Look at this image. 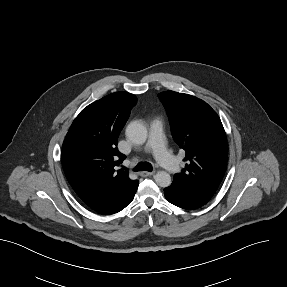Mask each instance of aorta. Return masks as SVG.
I'll use <instances>...</instances> for the list:
<instances>
[{
    "mask_svg": "<svg viewBox=\"0 0 287 287\" xmlns=\"http://www.w3.org/2000/svg\"><path fill=\"white\" fill-rule=\"evenodd\" d=\"M126 137L136 145H142L146 142L148 132L146 126L139 122L133 121L126 128ZM155 182L160 187H168L171 185V176L166 171H158L154 176Z\"/></svg>",
    "mask_w": 287,
    "mask_h": 287,
    "instance_id": "obj_1",
    "label": "aorta"
}]
</instances>
